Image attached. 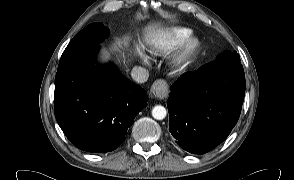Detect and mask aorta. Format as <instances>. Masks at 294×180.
<instances>
[{
	"label": "aorta",
	"mask_w": 294,
	"mask_h": 180,
	"mask_svg": "<svg viewBox=\"0 0 294 180\" xmlns=\"http://www.w3.org/2000/svg\"><path fill=\"white\" fill-rule=\"evenodd\" d=\"M167 115L165 107L157 105L152 109V116L156 120H163Z\"/></svg>",
	"instance_id": "1"
}]
</instances>
